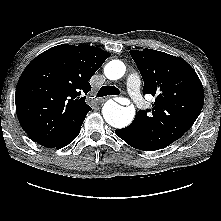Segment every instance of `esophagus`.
I'll list each match as a JSON object with an SVG mask.
<instances>
[{
    "label": "esophagus",
    "instance_id": "esophagus-1",
    "mask_svg": "<svg viewBox=\"0 0 221 221\" xmlns=\"http://www.w3.org/2000/svg\"><path fill=\"white\" fill-rule=\"evenodd\" d=\"M107 99H108V97L101 98V99H100V102H104V101H106Z\"/></svg>",
    "mask_w": 221,
    "mask_h": 221
}]
</instances>
